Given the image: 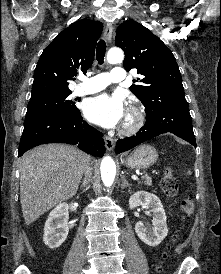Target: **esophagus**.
Returning <instances> with one entry per match:
<instances>
[{
  "instance_id": "1",
  "label": "esophagus",
  "mask_w": 221,
  "mask_h": 274,
  "mask_svg": "<svg viewBox=\"0 0 221 274\" xmlns=\"http://www.w3.org/2000/svg\"><path fill=\"white\" fill-rule=\"evenodd\" d=\"M112 32H113V26L112 24L108 23L106 24L105 28H104V39L109 42L111 40V36H112ZM104 142H105V147L108 151H112L115 147V140L107 135L104 136Z\"/></svg>"
}]
</instances>
